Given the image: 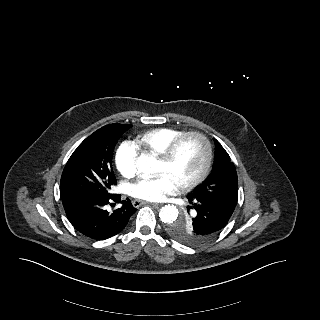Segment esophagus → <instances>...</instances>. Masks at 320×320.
<instances>
[{
  "label": "esophagus",
  "instance_id": "esophagus-1",
  "mask_svg": "<svg viewBox=\"0 0 320 320\" xmlns=\"http://www.w3.org/2000/svg\"><path fill=\"white\" fill-rule=\"evenodd\" d=\"M147 203H148V202L140 201V200H134V201L132 202L133 206L136 207V208L140 207V206L143 205V204H147ZM150 204L153 205V206H158V204H156V203H150Z\"/></svg>",
  "mask_w": 320,
  "mask_h": 320
}]
</instances>
